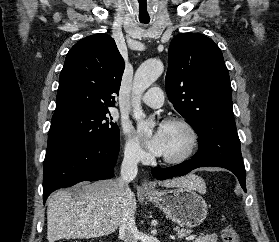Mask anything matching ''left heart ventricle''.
<instances>
[{
	"label": "left heart ventricle",
	"instance_id": "1",
	"mask_svg": "<svg viewBox=\"0 0 279 242\" xmlns=\"http://www.w3.org/2000/svg\"><path fill=\"white\" fill-rule=\"evenodd\" d=\"M164 152L162 156H177L187 147L186 131L178 125H163Z\"/></svg>",
	"mask_w": 279,
	"mask_h": 242
}]
</instances>
